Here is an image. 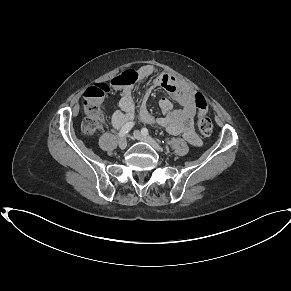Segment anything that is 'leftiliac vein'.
<instances>
[{"label": "left iliac vein", "mask_w": 291, "mask_h": 291, "mask_svg": "<svg viewBox=\"0 0 291 291\" xmlns=\"http://www.w3.org/2000/svg\"><path fill=\"white\" fill-rule=\"evenodd\" d=\"M134 136L136 139L150 144L155 150L162 151L161 146L154 139H152L150 136L143 135L138 130L134 131Z\"/></svg>", "instance_id": "1"}]
</instances>
